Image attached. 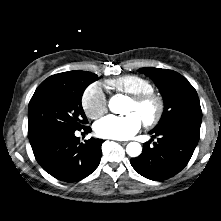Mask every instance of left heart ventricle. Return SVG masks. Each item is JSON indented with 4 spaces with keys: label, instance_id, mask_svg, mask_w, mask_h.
Instances as JSON below:
<instances>
[{
    "label": "left heart ventricle",
    "instance_id": "b2bd125f",
    "mask_svg": "<svg viewBox=\"0 0 221 221\" xmlns=\"http://www.w3.org/2000/svg\"><path fill=\"white\" fill-rule=\"evenodd\" d=\"M152 111H153V107L151 105L146 106L144 108H138L131 101H129L128 107H127V110H126L127 113H131V112L137 113L141 117V119L144 116H147V115L151 114Z\"/></svg>",
    "mask_w": 221,
    "mask_h": 221
}]
</instances>
